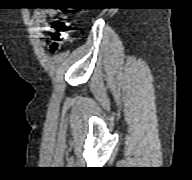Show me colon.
Wrapping results in <instances>:
<instances>
[{
  "label": "colon",
  "mask_w": 192,
  "mask_h": 180,
  "mask_svg": "<svg viewBox=\"0 0 192 180\" xmlns=\"http://www.w3.org/2000/svg\"><path fill=\"white\" fill-rule=\"evenodd\" d=\"M53 26L55 32L51 36L50 51L56 53L61 49L64 41L68 38V34L71 30V23L67 18L60 17L54 22Z\"/></svg>",
  "instance_id": "1"
}]
</instances>
